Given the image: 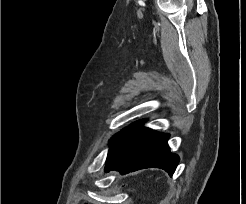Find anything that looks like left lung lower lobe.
I'll return each instance as SVG.
<instances>
[{
	"mask_svg": "<svg viewBox=\"0 0 246 204\" xmlns=\"http://www.w3.org/2000/svg\"><path fill=\"white\" fill-rule=\"evenodd\" d=\"M145 121L129 125L110 139L105 172L118 170L125 174L155 167L173 175L179 157L169 151V135L142 127Z\"/></svg>",
	"mask_w": 246,
	"mask_h": 204,
	"instance_id": "obj_1",
	"label": "left lung lower lobe"
}]
</instances>
